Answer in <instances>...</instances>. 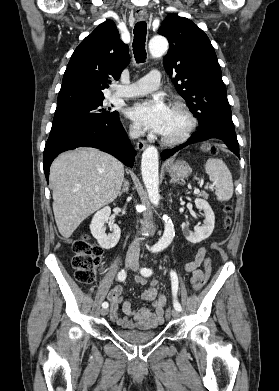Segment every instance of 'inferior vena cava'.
Segmentation results:
<instances>
[{"instance_id":"1","label":"inferior vena cava","mask_w":279,"mask_h":391,"mask_svg":"<svg viewBox=\"0 0 279 391\" xmlns=\"http://www.w3.org/2000/svg\"><path fill=\"white\" fill-rule=\"evenodd\" d=\"M141 135V132L139 130V128L137 127H133L131 128L130 130V137L135 139V138H138L139 136ZM140 252V244H139V239H135L132 244L129 246V249H128V254H134V255H138Z\"/></svg>"}]
</instances>
